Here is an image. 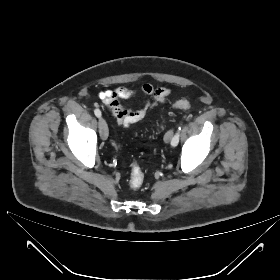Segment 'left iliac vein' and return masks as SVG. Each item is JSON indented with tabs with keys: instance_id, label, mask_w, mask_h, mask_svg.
<instances>
[{
	"instance_id": "left-iliac-vein-1",
	"label": "left iliac vein",
	"mask_w": 280,
	"mask_h": 280,
	"mask_svg": "<svg viewBox=\"0 0 280 280\" xmlns=\"http://www.w3.org/2000/svg\"><path fill=\"white\" fill-rule=\"evenodd\" d=\"M174 131L172 129L168 130L164 136V141L169 143L173 138Z\"/></svg>"
}]
</instances>
